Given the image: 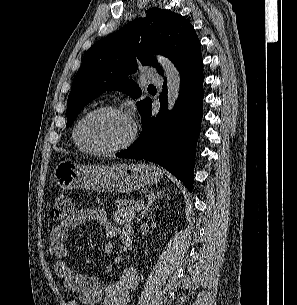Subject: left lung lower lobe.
Returning a JSON list of instances; mask_svg holds the SVG:
<instances>
[{
    "mask_svg": "<svg viewBox=\"0 0 297 305\" xmlns=\"http://www.w3.org/2000/svg\"><path fill=\"white\" fill-rule=\"evenodd\" d=\"M178 100L167 110V81L160 94V111L151 114L152 100L142 114L143 129L129 149L118 157L145 159L157 163L180 179L192 191L197 138L203 113V68L183 66Z\"/></svg>",
    "mask_w": 297,
    "mask_h": 305,
    "instance_id": "0a47b994",
    "label": "left lung lower lobe"
}]
</instances>
